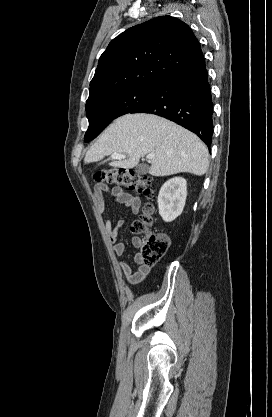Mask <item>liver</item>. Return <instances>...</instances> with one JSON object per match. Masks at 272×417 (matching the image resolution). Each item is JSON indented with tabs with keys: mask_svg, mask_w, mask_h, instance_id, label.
<instances>
[{
	"mask_svg": "<svg viewBox=\"0 0 272 417\" xmlns=\"http://www.w3.org/2000/svg\"><path fill=\"white\" fill-rule=\"evenodd\" d=\"M112 153L127 155V159L109 163L125 169L137 166L141 157L154 153L149 173L156 177L181 172L202 176L209 165L208 149L195 134L152 114L117 118L89 148L84 162L101 161Z\"/></svg>",
	"mask_w": 272,
	"mask_h": 417,
	"instance_id": "1",
	"label": "liver"
}]
</instances>
